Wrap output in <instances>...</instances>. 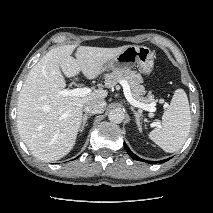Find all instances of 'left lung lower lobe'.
<instances>
[{
  "label": "left lung lower lobe",
  "instance_id": "obj_1",
  "mask_svg": "<svg viewBox=\"0 0 213 213\" xmlns=\"http://www.w3.org/2000/svg\"><path fill=\"white\" fill-rule=\"evenodd\" d=\"M124 147L126 149V151L128 152V154L135 160H141V161H144V162H148V163H151V164H156L157 162L159 163H163V162H166L168 161L170 158L168 159H165V160H161V161H147V160H144V159H141L139 158L138 156H136L130 149L129 147L126 145V143H124Z\"/></svg>",
  "mask_w": 213,
  "mask_h": 213
}]
</instances>
